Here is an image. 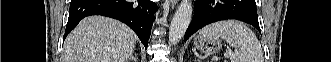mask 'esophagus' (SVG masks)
<instances>
[{
    "label": "esophagus",
    "mask_w": 331,
    "mask_h": 62,
    "mask_svg": "<svg viewBox=\"0 0 331 62\" xmlns=\"http://www.w3.org/2000/svg\"><path fill=\"white\" fill-rule=\"evenodd\" d=\"M171 5L174 6L178 3V0H169Z\"/></svg>",
    "instance_id": "1"
}]
</instances>
